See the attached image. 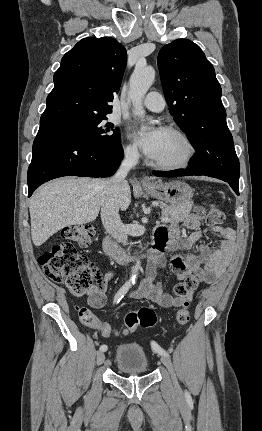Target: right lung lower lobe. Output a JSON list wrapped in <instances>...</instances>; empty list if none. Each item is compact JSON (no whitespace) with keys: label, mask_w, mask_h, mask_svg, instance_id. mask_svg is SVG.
I'll return each instance as SVG.
<instances>
[{"label":"right lung lower lobe","mask_w":262,"mask_h":431,"mask_svg":"<svg viewBox=\"0 0 262 431\" xmlns=\"http://www.w3.org/2000/svg\"><path fill=\"white\" fill-rule=\"evenodd\" d=\"M122 158L121 142L106 146L64 132L39 130L27 175L29 196L41 184L62 176H111Z\"/></svg>","instance_id":"1"}]
</instances>
